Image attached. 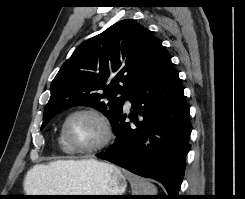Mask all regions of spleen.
I'll return each instance as SVG.
<instances>
[{
  "label": "spleen",
  "instance_id": "spleen-1",
  "mask_svg": "<svg viewBox=\"0 0 245 199\" xmlns=\"http://www.w3.org/2000/svg\"><path fill=\"white\" fill-rule=\"evenodd\" d=\"M124 174L131 184L132 195H157V188L147 179L127 171H124Z\"/></svg>",
  "mask_w": 245,
  "mask_h": 199
}]
</instances>
